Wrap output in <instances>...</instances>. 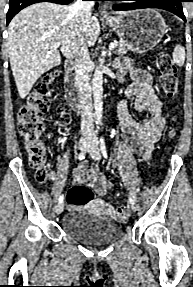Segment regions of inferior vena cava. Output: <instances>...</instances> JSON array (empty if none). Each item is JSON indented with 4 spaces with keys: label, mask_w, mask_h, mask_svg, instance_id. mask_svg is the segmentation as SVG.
<instances>
[{
    "label": "inferior vena cava",
    "mask_w": 193,
    "mask_h": 287,
    "mask_svg": "<svg viewBox=\"0 0 193 287\" xmlns=\"http://www.w3.org/2000/svg\"><path fill=\"white\" fill-rule=\"evenodd\" d=\"M94 1L77 0L70 11L78 14L82 21L86 23L91 17V9ZM90 57L88 47L81 45L75 56V80L79 91V101L81 107V138L93 139L96 137L93 126L92 113V88L90 84Z\"/></svg>",
    "instance_id": "inferior-vena-cava-1"
}]
</instances>
